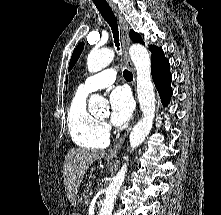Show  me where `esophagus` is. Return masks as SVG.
<instances>
[{
	"label": "esophagus",
	"mask_w": 221,
	"mask_h": 215,
	"mask_svg": "<svg viewBox=\"0 0 221 215\" xmlns=\"http://www.w3.org/2000/svg\"><path fill=\"white\" fill-rule=\"evenodd\" d=\"M112 8L115 11V13L118 17V20H119V25H120V29H121L122 47H123V53H124V61H125L126 65L131 70H133L131 58L129 55V48H130L131 41L129 38L128 25H127L124 17L122 16V13L115 6H112ZM130 130H131V126L125 131V133L122 135V137L119 139V141L113 146V148H111L108 151V153H107L108 157H117V154H118L120 148L122 147L124 140H125L126 136L129 134Z\"/></svg>",
	"instance_id": "esophagus-1"
}]
</instances>
